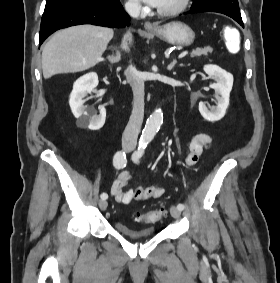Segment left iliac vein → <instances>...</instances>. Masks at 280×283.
Instances as JSON below:
<instances>
[{"mask_svg": "<svg viewBox=\"0 0 280 283\" xmlns=\"http://www.w3.org/2000/svg\"><path fill=\"white\" fill-rule=\"evenodd\" d=\"M170 214H171V216H172L173 218L179 219L180 216H181V210L178 209V208L175 207V206H171V207H170Z\"/></svg>", "mask_w": 280, "mask_h": 283, "instance_id": "left-iliac-vein-1", "label": "left iliac vein"}]
</instances>
